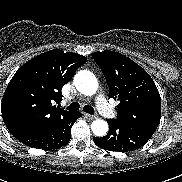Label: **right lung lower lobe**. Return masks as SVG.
Returning <instances> with one entry per match:
<instances>
[{
    "instance_id": "98d812e1",
    "label": "right lung lower lobe",
    "mask_w": 182,
    "mask_h": 182,
    "mask_svg": "<svg viewBox=\"0 0 182 182\" xmlns=\"http://www.w3.org/2000/svg\"><path fill=\"white\" fill-rule=\"evenodd\" d=\"M80 112H74L70 117L58 121L50 126L31 131L16 137L23 144L38 149H57L66 145L71 138V127L80 118Z\"/></svg>"
}]
</instances>
